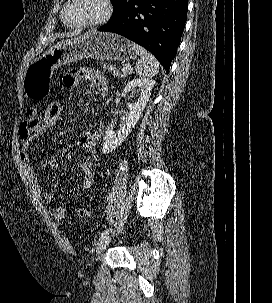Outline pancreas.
I'll return each instance as SVG.
<instances>
[{"instance_id":"1","label":"pancreas","mask_w":272,"mask_h":303,"mask_svg":"<svg viewBox=\"0 0 272 303\" xmlns=\"http://www.w3.org/2000/svg\"><path fill=\"white\" fill-rule=\"evenodd\" d=\"M132 73L131 68L130 69H125L124 67L121 69H114L113 70V74L116 76H121V77H127L128 75H130Z\"/></svg>"}]
</instances>
